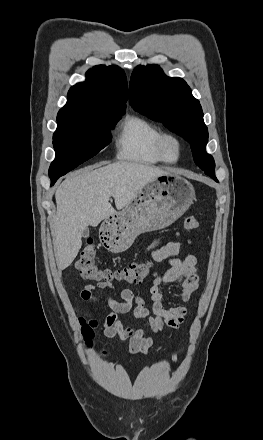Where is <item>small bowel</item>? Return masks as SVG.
I'll return each mask as SVG.
<instances>
[{"label":"small bowel","mask_w":263,"mask_h":440,"mask_svg":"<svg viewBox=\"0 0 263 440\" xmlns=\"http://www.w3.org/2000/svg\"><path fill=\"white\" fill-rule=\"evenodd\" d=\"M185 243L190 241L168 242L159 248L157 242H153L147 247V252L155 262L168 261L170 265L165 273L157 271L152 273V282L149 286L151 306H147L144 299L130 288H124L120 292L121 300H117L113 295L106 297L109 311L103 322V333L110 339L128 341L129 352L133 355L146 354L152 347L154 338L145 336L141 328L124 326L119 315L132 311L135 319L138 322L146 321L154 334L161 332L165 327L178 329L185 321L188 309L185 306H167L161 291L162 285L174 283L179 288V299L187 302L198 289L200 275L197 258L194 255L177 257ZM105 288L114 289L111 284L101 281L87 284L81 289L80 297L84 302L95 303L96 291Z\"/></svg>","instance_id":"small-bowel-1"}]
</instances>
